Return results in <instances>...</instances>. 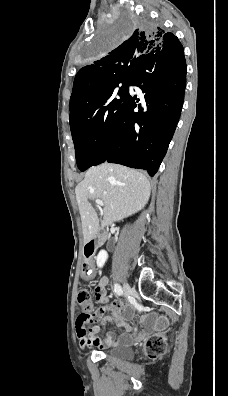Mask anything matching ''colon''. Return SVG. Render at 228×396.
<instances>
[{
    "mask_svg": "<svg viewBox=\"0 0 228 396\" xmlns=\"http://www.w3.org/2000/svg\"><path fill=\"white\" fill-rule=\"evenodd\" d=\"M77 303L81 310L77 323L85 326L92 322L95 314L94 303L90 292L86 289L80 290L77 295ZM146 347L152 358L160 357L165 353V340L161 336L150 338L146 343Z\"/></svg>",
    "mask_w": 228,
    "mask_h": 396,
    "instance_id": "5ec220e1",
    "label": "colon"
}]
</instances>
